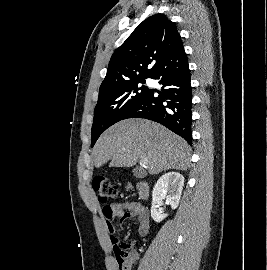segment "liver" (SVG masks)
<instances>
[{
    "label": "liver",
    "instance_id": "obj_1",
    "mask_svg": "<svg viewBox=\"0 0 267 270\" xmlns=\"http://www.w3.org/2000/svg\"><path fill=\"white\" fill-rule=\"evenodd\" d=\"M188 143L165 127L145 119H126L108 128L93 149V163L101 167H131L138 159L146 162L151 175L190 163Z\"/></svg>",
    "mask_w": 267,
    "mask_h": 270
}]
</instances>
